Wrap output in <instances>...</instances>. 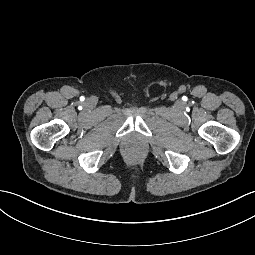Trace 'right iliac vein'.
Returning a JSON list of instances; mask_svg holds the SVG:
<instances>
[{
	"label": "right iliac vein",
	"instance_id": "1",
	"mask_svg": "<svg viewBox=\"0 0 255 255\" xmlns=\"http://www.w3.org/2000/svg\"><path fill=\"white\" fill-rule=\"evenodd\" d=\"M87 104L90 105V106H93L94 105V101L90 99V100L87 101Z\"/></svg>",
	"mask_w": 255,
	"mask_h": 255
}]
</instances>
